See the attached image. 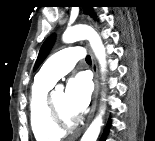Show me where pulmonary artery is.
Segmentation results:
<instances>
[{"instance_id": "1", "label": "pulmonary artery", "mask_w": 155, "mask_h": 141, "mask_svg": "<svg viewBox=\"0 0 155 141\" xmlns=\"http://www.w3.org/2000/svg\"><path fill=\"white\" fill-rule=\"evenodd\" d=\"M84 57V51L78 46H68L55 53L44 64L37 79L55 83L59 78L66 75Z\"/></svg>"}]
</instances>
